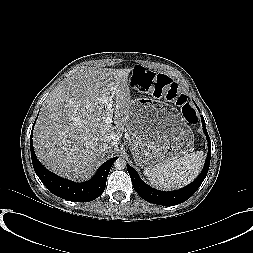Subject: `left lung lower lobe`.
<instances>
[{"instance_id": "0a47b994", "label": "left lung lower lobe", "mask_w": 253, "mask_h": 253, "mask_svg": "<svg viewBox=\"0 0 253 253\" xmlns=\"http://www.w3.org/2000/svg\"><path fill=\"white\" fill-rule=\"evenodd\" d=\"M201 120H202L203 131L208 141V154H207L205 165L203 167L201 174L190 185L182 189H179L177 191L165 192V191L154 189L148 186L147 184H145L140 179L135 169H133L130 165L127 164V169L132 180V185L140 197H142L144 200L153 204L176 205L189 199L200 187V185L202 184L203 180L205 179L207 175L209 164H210V158H211V142H210V138L205 127V121H204L203 116H201Z\"/></svg>"}]
</instances>
